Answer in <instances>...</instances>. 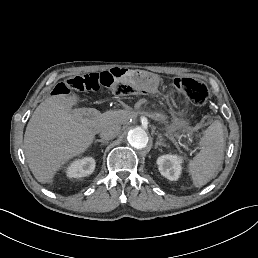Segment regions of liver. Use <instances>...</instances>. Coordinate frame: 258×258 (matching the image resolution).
<instances>
[{"label": "liver", "mask_w": 258, "mask_h": 258, "mask_svg": "<svg viewBox=\"0 0 258 258\" xmlns=\"http://www.w3.org/2000/svg\"><path fill=\"white\" fill-rule=\"evenodd\" d=\"M76 102L75 94L51 96L35 109L28 122L24 135L25 156L40 183H51L56 171L83 153L94 140L96 133L88 123L92 113L99 112L93 108L72 110Z\"/></svg>", "instance_id": "1"}]
</instances>
